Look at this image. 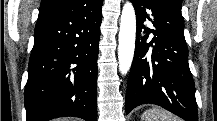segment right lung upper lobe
<instances>
[{
    "instance_id": "right-lung-upper-lobe-1",
    "label": "right lung upper lobe",
    "mask_w": 217,
    "mask_h": 121,
    "mask_svg": "<svg viewBox=\"0 0 217 121\" xmlns=\"http://www.w3.org/2000/svg\"><path fill=\"white\" fill-rule=\"evenodd\" d=\"M85 0H42L39 16L79 7Z\"/></svg>"
}]
</instances>
